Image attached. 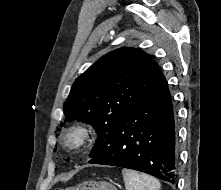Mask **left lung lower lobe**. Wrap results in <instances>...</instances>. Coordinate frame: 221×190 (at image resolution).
Listing matches in <instances>:
<instances>
[{"mask_svg":"<svg viewBox=\"0 0 221 190\" xmlns=\"http://www.w3.org/2000/svg\"><path fill=\"white\" fill-rule=\"evenodd\" d=\"M89 163L134 169L175 183V111L163 76L144 100L114 127L107 147Z\"/></svg>","mask_w":221,"mask_h":190,"instance_id":"0a47b994","label":"left lung lower lobe"}]
</instances>
